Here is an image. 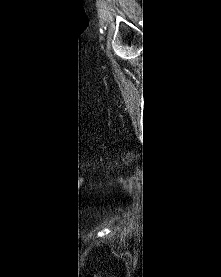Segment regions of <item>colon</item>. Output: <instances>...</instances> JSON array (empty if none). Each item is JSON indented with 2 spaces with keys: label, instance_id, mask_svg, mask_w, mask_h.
Wrapping results in <instances>:
<instances>
[{
  "label": "colon",
  "instance_id": "colon-1",
  "mask_svg": "<svg viewBox=\"0 0 221 277\" xmlns=\"http://www.w3.org/2000/svg\"><path fill=\"white\" fill-rule=\"evenodd\" d=\"M87 275H88L87 277H102V276H98V275H96L94 273L93 274L92 273L91 274H87Z\"/></svg>",
  "mask_w": 221,
  "mask_h": 277
}]
</instances>
